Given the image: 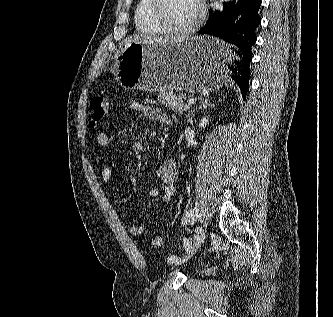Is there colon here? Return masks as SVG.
<instances>
[{
	"label": "colon",
	"instance_id": "1",
	"mask_svg": "<svg viewBox=\"0 0 333 317\" xmlns=\"http://www.w3.org/2000/svg\"><path fill=\"white\" fill-rule=\"evenodd\" d=\"M91 113H90V125L95 127L106 116L109 111L110 102L108 98L104 96H94L90 101ZM152 245L157 247L161 244V237L154 236L151 241Z\"/></svg>",
	"mask_w": 333,
	"mask_h": 317
}]
</instances>
